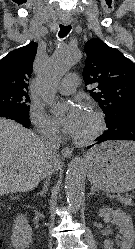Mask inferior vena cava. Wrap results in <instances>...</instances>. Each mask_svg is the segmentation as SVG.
Here are the masks:
<instances>
[{
    "label": "inferior vena cava",
    "instance_id": "inferior-vena-cava-1",
    "mask_svg": "<svg viewBox=\"0 0 135 249\" xmlns=\"http://www.w3.org/2000/svg\"><path fill=\"white\" fill-rule=\"evenodd\" d=\"M41 135H42L41 140L45 145L46 149L49 151V153L52 156H56L57 149L60 147L61 143V138L59 137V131L57 130V128L52 126H47L41 131ZM54 169H55L54 165L51 162L47 166L42 178L50 176L54 172Z\"/></svg>",
    "mask_w": 135,
    "mask_h": 249
}]
</instances>
